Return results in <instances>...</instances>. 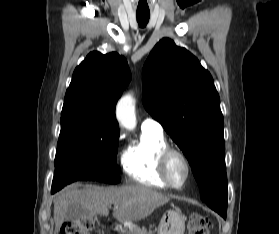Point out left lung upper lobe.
Returning <instances> with one entry per match:
<instances>
[{
	"instance_id": "left-lung-upper-lobe-1",
	"label": "left lung upper lobe",
	"mask_w": 279,
	"mask_h": 234,
	"mask_svg": "<svg viewBox=\"0 0 279 234\" xmlns=\"http://www.w3.org/2000/svg\"><path fill=\"white\" fill-rule=\"evenodd\" d=\"M143 104L187 157L203 202L227 214L223 115L211 74L185 48L163 38L143 67Z\"/></svg>"
}]
</instances>
